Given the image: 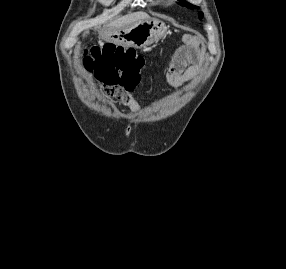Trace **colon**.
Segmentation results:
<instances>
[{"label":"colon","mask_w":286,"mask_h":269,"mask_svg":"<svg viewBox=\"0 0 286 269\" xmlns=\"http://www.w3.org/2000/svg\"><path fill=\"white\" fill-rule=\"evenodd\" d=\"M82 53L85 67L105 84L104 92L109 97L118 86L130 90L141 81L144 59L132 48L105 43L84 47Z\"/></svg>","instance_id":"1"}]
</instances>
